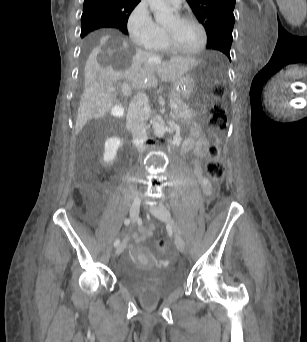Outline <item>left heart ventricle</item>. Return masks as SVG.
<instances>
[{"label":"left heart ventricle","mask_w":307,"mask_h":342,"mask_svg":"<svg viewBox=\"0 0 307 342\" xmlns=\"http://www.w3.org/2000/svg\"><path fill=\"white\" fill-rule=\"evenodd\" d=\"M172 44L178 49L191 51L198 48L202 42L203 34L201 28L195 22H179L174 19L162 30Z\"/></svg>","instance_id":"1"}]
</instances>
